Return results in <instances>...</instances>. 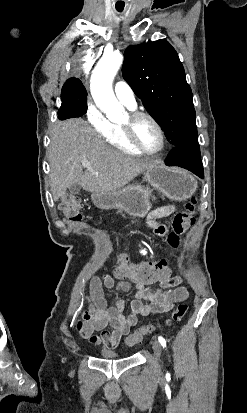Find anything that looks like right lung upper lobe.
Masks as SVG:
<instances>
[{
  "instance_id": "1",
  "label": "right lung upper lobe",
  "mask_w": 247,
  "mask_h": 413,
  "mask_svg": "<svg viewBox=\"0 0 247 413\" xmlns=\"http://www.w3.org/2000/svg\"><path fill=\"white\" fill-rule=\"evenodd\" d=\"M69 80H79V79H77V78L73 77V78H70Z\"/></svg>"
}]
</instances>
